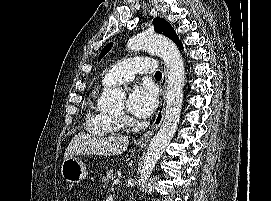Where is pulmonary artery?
<instances>
[{
  "label": "pulmonary artery",
  "instance_id": "pulmonary-artery-1",
  "mask_svg": "<svg viewBox=\"0 0 271 201\" xmlns=\"http://www.w3.org/2000/svg\"><path fill=\"white\" fill-rule=\"evenodd\" d=\"M156 71V64L150 57L127 58L115 65L104 77L105 85L131 81L136 74H151Z\"/></svg>",
  "mask_w": 271,
  "mask_h": 201
}]
</instances>
